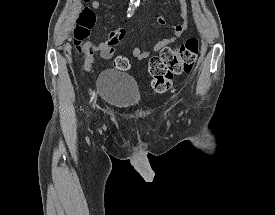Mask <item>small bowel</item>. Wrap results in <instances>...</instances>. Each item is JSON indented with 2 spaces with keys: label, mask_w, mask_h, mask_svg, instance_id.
I'll list each match as a JSON object with an SVG mask.
<instances>
[{
  "label": "small bowel",
  "mask_w": 275,
  "mask_h": 215,
  "mask_svg": "<svg viewBox=\"0 0 275 215\" xmlns=\"http://www.w3.org/2000/svg\"><path fill=\"white\" fill-rule=\"evenodd\" d=\"M179 1L181 3V17L183 22L181 24L171 25L173 30L172 35L157 42L151 50L142 51L138 47L134 48L131 52V57L137 60H145L149 58L152 53L161 50L164 46L174 43L182 36L188 28L189 11L185 5V0ZM91 7L98 11L100 9V3L97 0H93ZM156 22L160 26H165L167 24L166 19L161 16L157 18ZM124 35L125 31L121 29L110 32L108 35V40L99 44H95L91 40H87L83 45V49L87 53L85 68L87 70L91 69L93 63V56L89 54L91 51L99 53V55L104 59H110L113 56L114 46L123 39Z\"/></svg>",
  "instance_id": "c3829d8e"
}]
</instances>
